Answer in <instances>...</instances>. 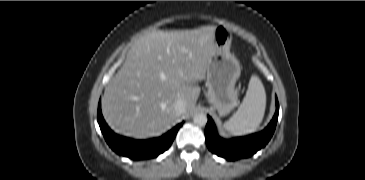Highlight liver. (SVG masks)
Segmentation results:
<instances>
[{
	"label": "liver",
	"mask_w": 365,
	"mask_h": 180,
	"mask_svg": "<svg viewBox=\"0 0 365 180\" xmlns=\"http://www.w3.org/2000/svg\"><path fill=\"white\" fill-rule=\"evenodd\" d=\"M214 26L193 30L154 31L141 37L105 87L102 112L116 132L136 138L157 136L180 115L177 99L191 112L200 95L214 50Z\"/></svg>",
	"instance_id": "6515ba94"
}]
</instances>
